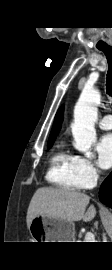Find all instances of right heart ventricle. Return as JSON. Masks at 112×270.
<instances>
[{
    "mask_svg": "<svg viewBox=\"0 0 112 270\" xmlns=\"http://www.w3.org/2000/svg\"><path fill=\"white\" fill-rule=\"evenodd\" d=\"M46 178L48 182L66 190L81 189L75 171V157L63 148L51 156Z\"/></svg>",
    "mask_w": 112,
    "mask_h": 270,
    "instance_id": "1",
    "label": "right heart ventricle"
}]
</instances>
